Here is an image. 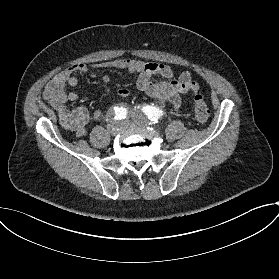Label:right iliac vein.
<instances>
[{"mask_svg":"<svg viewBox=\"0 0 279 279\" xmlns=\"http://www.w3.org/2000/svg\"><path fill=\"white\" fill-rule=\"evenodd\" d=\"M116 128H117L116 122L113 121V120H110L109 125H108V129H109V131L112 135H117L118 131H117Z\"/></svg>","mask_w":279,"mask_h":279,"instance_id":"right-iliac-vein-1","label":"right iliac vein"}]
</instances>
